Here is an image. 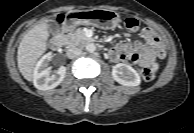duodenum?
<instances>
[{"instance_id":"1","label":"duodenum","mask_w":194,"mask_h":133,"mask_svg":"<svg viewBox=\"0 0 194 133\" xmlns=\"http://www.w3.org/2000/svg\"><path fill=\"white\" fill-rule=\"evenodd\" d=\"M71 27V24H66L63 27V30L61 33L57 34L56 36H54L51 41H50V48L52 50H58L62 47L63 45V38H64V32L68 31ZM87 43H93L94 41L90 38L86 39Z\"/></svg>"}]
</instances>
